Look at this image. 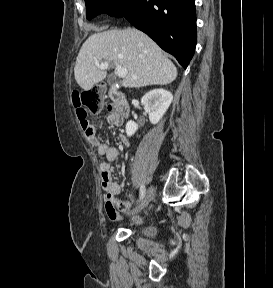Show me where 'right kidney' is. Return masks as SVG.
Instances as JSON below:
<instances>
[{
  "label": "right kidney",
  "mask_w": 273,
  "mask_h": 288,
  "mask_svg": "<svg viewBox=\"0 0 273 288\" xmlns=\"http://www.w3.org/2000/svg\"><path fill=\"white\" fill-rule=\"evenodd\" d=\"M173 96L169 91L159 88L145 94L141 99L144 110L149 115L152 124H157L164 116L165 112L172 103ZM138 125L134 121H128L126 124V134L128 137L134 135Z\"/></svg>",
  "instance_id": "obj_1"
}]
</instances>
